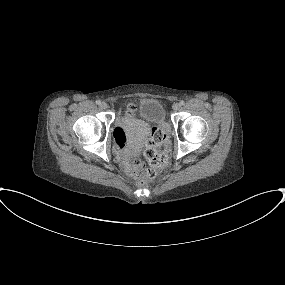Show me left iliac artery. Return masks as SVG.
Wrapping results in <instances>:
<instances>
[{
    "mask_svg": "<svg viewBox=\"0 0 285 285\" xmlns=\"http://www.w3.org/2000/svg\"><path fill=\"white\" fill-rule=\"evenodd\" d=\"M180 104H181V105H184V104H185V102L182 100V101H180Z\"/></svg>",
    "mask_w": 285,
    "mask_h": 285,
    "instance_id": "left-iliac-artery-1",
    "label": "left iliac artery"
}]
</instances>
